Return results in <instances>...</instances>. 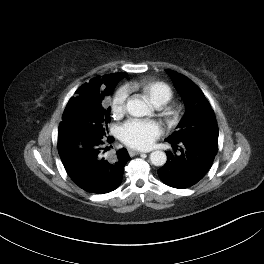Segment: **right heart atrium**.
<instances>
[{"mask_svg": "<svg viewBox=\"0 0 264 264\" xmlns=\"http://www.w3.org/2000/svg\"><path fill=\"white\" fill-rule=\"evenodd\" d=\"M127 96V89L120 88L111 98V112L115 117H121L126 112Z\"/></svg>", "mask_w": 264, "mask_h": 264, "instance_id": "obj_1", "label": "right heart atrium"}]
</instances>
